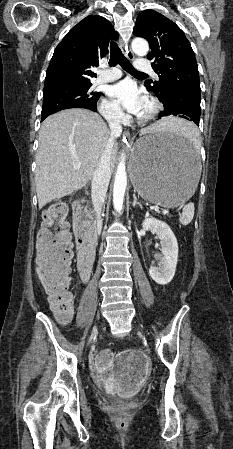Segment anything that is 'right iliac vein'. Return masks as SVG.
Returning a JSON list of instances; mask_svg holds the SVG:
<instances>
[{
    "mask_svg": "<svg viewBox=\"0 0 233 449\" xmlns=\"http://www.w3.org/2000/svg\"><path fill=\"white\" fill-rule=\"evenodd\" d=\"M95 334H96V328L93 329V332H92V334H91L90 340L93 338V336H94Z\"/></svg>",
    "mask_w": 233,
    "mask_h": 449,
    "instance_id": "obj_1",
    "label": "right iliac vein"
}]
</instances>
